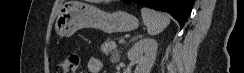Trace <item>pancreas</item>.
Masks as SVG:
<instances>
[{"label":"pancreas","mask_w":244,"mask_h":73,"mask_svg":"<svg viewBox=\"0 0 244 73\" xmlns=\"http://www.w3.org/2000/svg\"><path fill=\"white\" fill-rule=\"evenodd\" d=\"M100 51L105 55H113L117 51V45L113 40H107L101 46Z\"/></svg>","instance_id":"obj_1"}]
</instances>
